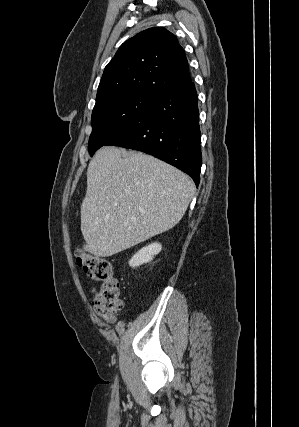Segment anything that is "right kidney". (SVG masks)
I'll return each mask as SVG.
<instances>
[{"label": "right kidney", "instance_id": "right-kidney-1", "mask_svg": "<svg viewBox=\"0 0 299 427\" xmlns=\"http://www.w3.org/2000/svg\"><path fill=\"white\" fill-rule=\"evenodd\" d=\"M162 250L160 243H152L139 250L129 261V265L133 268L153 260L154 256Z\"/></svg>", "mask_w": 299, "mask_h": 427}]
</instances>
